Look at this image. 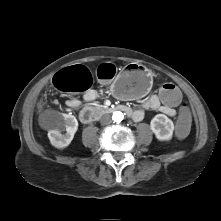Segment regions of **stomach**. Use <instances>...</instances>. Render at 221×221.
Here are the masks:
<instances>
[{
    "mask_svg": "<svg viewBox=\"0 0 221 221\" xmlns=\"http://www.w3.org/2000/svg\"><path fill=\"white\" fill-rule=\"evenodd\" d=\"M152 85L151 72L136 63H130L114 79L111 89L122 99H137L147 93Z\"/></svg>",
    "mask_w": 221,
    "mask_h": 221,
    "instance_id": "0dacf381",
    "label": "stomach"
}]
</instances>
